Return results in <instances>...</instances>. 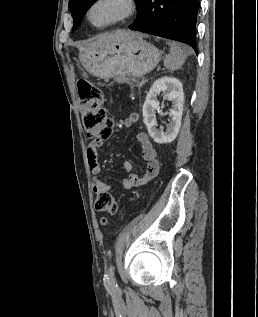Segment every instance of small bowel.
Returning <instances> with one entry per match:
<instances>
[{
	"instance_id": "small-bowel-1",
	"label": "small bowel",
	"mask_w": 258,
	"mask_h": 317,
	"mask_svg": "<svg viewBox=\"0 0 258 317\" xmlns=\"http://www.w3.org/2000/svg\"><path fill=\"white\" fill-rule=\"evenodd\" d=\"M139 121L138 113H131L124 121L123 124L130 127ZM137 142L142 147V156L147 162V170L144 177L140 178L135 174H131L128 178L123 179L119 185L118 189L121 191L130 190L133 187L142 185L148 180L154 178L159 172V160L158 151L150 140L148 135L144 132H140L136 135ZM103 145V140L94 139L91 141L87 147L86 154L89 164V169L92 174V190L94 193L109 192L111 190V185L98 178L101 171V167L98 161V149ZM123 169L126 173H131L133 170V162L126 160L123 163Z\"/></svg>"
}]
</instances>
